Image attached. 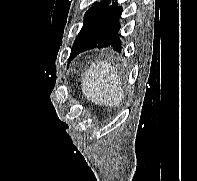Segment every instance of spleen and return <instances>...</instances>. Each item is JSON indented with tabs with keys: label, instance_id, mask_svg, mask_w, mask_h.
Segmentation results:
<instances>
[{
	"label": "spleen",
	"instance_id": "3e777b00",
	"mask_svg": "<svg viewBox=\"0 0 197 181\" xmlns=\"http://www.w3.org/2000/svg\"><path fill=\"white\" fill-rule=\"evenodd\" d=\"M82 92L96 105L119 106L124 98L120 75L107 61L90 65L82 80Z\"/></svg>",
	"mask_w": 197,
	"mask_h": 181
}]
</instances>
